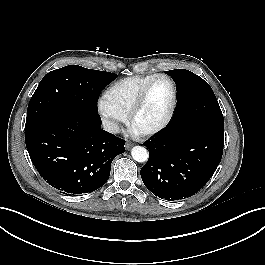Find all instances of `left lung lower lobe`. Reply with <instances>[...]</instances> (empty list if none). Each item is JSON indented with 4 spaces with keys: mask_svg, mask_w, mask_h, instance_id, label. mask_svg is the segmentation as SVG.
Segmentation results:
<instances>
[{
    "mask_svg": "<svg viewBox=\"0 0 265 265\" xmlns=\"http://www.w3.org/2000/svg\"><path fill=\"white\" fill-rule=\"evenodd\" d=\"M148 162L141 169L145 186L168 201L197 193L221 161L224 130L202 123L168 126L147 141Z\"/></svg>",
    "mask_w": 265,
    "mask_h": 265,
    "instance_id": "left-lung-lower-lobe-1",
    "label": "left lung lower lobe"
}]
</instances>
